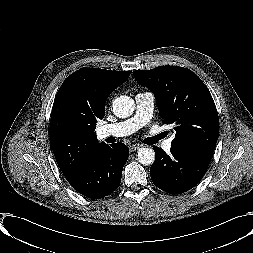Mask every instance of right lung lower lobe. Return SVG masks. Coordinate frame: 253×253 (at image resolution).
I'll return each instance as SVG.
<instances>
[{"instance_id":"right-lung-lower-lobe-1","label":"right lung lower lobe","mask_w":253,"mask_h":253,"mask_svg":"<svg viewBox=\"0 0 253 253\" xmlns=\"http://www.w3.org/2000/svg\"><path fill=\"white\" fill-rule=\"evenodd\" d=\"M128 156L129 149L121 142L101 144L87 160L80 175L70 182L71 186L92 199L111 194L120 185L122 169Z\"/></svg>"}]
</instances>
